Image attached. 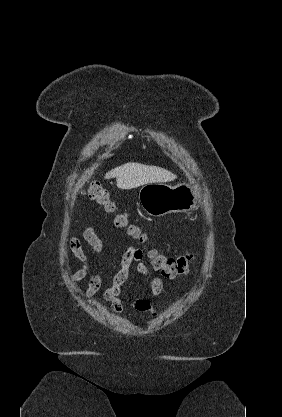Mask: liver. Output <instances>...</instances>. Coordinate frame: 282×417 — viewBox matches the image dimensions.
<instances>
[{"label": "liver", "mask_w": 282, "mask_h": 417, "mask_svg": "<svg viewBox=\"0 0 282 417\" xmlns=\"http://www.w3.org/2000/svg\"><path fill=\"white\" fill-rule=\"evenodd\" d=\"M117 178L118 188H136L141 184H149V182H169L174 180L176 174L161 168V166H148V164H140V162H126L121 166L112 168L106 172L104 178Z\"/></svg>", "instance_id": "6515ba94"}]
</instances>
